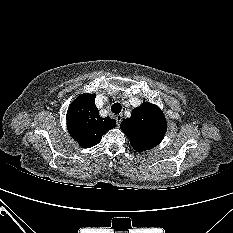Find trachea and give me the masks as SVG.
Wrapping results in <instances>:
<instances>
[{
    "instance_id": "3493384b",
    "label": "trachea",
    "mask_w": 233,
    "mask_h": 233,
    "mask_svg": "<svg viewBox=\"0 0 233 233\" xmlns=\"http://www.w3.org/2000/svg\"><path fill=\"white\" fill-rule=\"evenodd\" d=\"M122 106L120 103H114L111 106V111L115 114H119L121 112Z\"/></svg>"
}]
</instances>
